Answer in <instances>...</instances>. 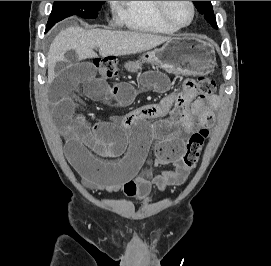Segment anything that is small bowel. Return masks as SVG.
<instances>
[{
	"label": "small bowel",
	"instance_id": "small-bowel-1",
	"mask_svg": "<svg viewBox=\"0 0 271 266\" xmlns=\"http://www.w3.org/2000/svg\"><path fill=\"white\" fill-rule=\"evenodd\" d=\"M139 75L155 91H168L169 79L163 72L147 68ZM49 78V98L55 122L66 138V157L80 173L84 185L121 191L136 199L147 198L153 187L165 190L185 183L186 175L179 168L185 150L180 132L211 126L213 110L219 104L216 95L204 100L171 92L159 103L90 124L76 111L74 93L78 89L91 100L126 106L135 96L133 86L128 82L108 84L96 76L89 62L57 63L49 70ZM166 115L169 118L163 119ZM152 119L156 120L151 122ZM152 141H156V165L173 166L172 169L157 174L151 170L140 172Z\"/></svg>",
	"mask_w": 271,
	"mask_h": 266
}]
</instances>
